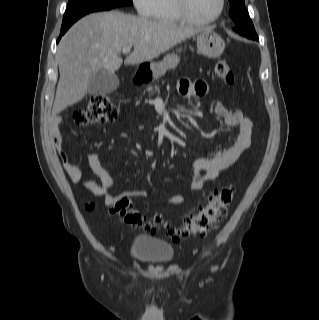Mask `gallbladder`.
<instances>
[{"label": "gallbladder", "instance_id": "gallbladder-1", "mask_svg": "<svg viewBox=\"0 0 319 320\" xmlns=\"http://www.w3.org/2000/svg\"><path fill=\"white\" fill-rule=\"evenodd\" d=\"M118 85L117 75L102 69L90 78L88 94L105 95L116 90Z\"/></svg>", "mask_w": 319, "mask_h": 320}]
</instances>
